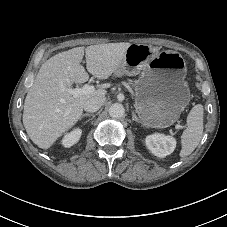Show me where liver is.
<instances>
[{"label":"liver","instance_id":"liver-1","mask_svg":"<svg viewBox=\"0 0 227 227\" xmlns=\"http://www.w3.org/2000/svg\"><path fill=\"white\" fill-rule=\"evenodd\" d=\"M131 44L128 42L76 47L56 54L42 64L24 102L23 124L38 147L48 149L81 118L84 104L93 97H105V89L74 97L66 91L81 84L89 74L80 64L85 53L87 71L107 79L120 66Z\"/></svg>","mask_w":227,"mask_h":227}]
</instances>
